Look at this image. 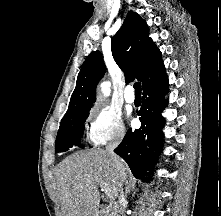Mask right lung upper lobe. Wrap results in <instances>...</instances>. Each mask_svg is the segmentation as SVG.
<instances>
[{
    "instance_id": "cb5924a9",
    "label": "right lung upper lobe",
    "mask_w": 221,
    "mask_h": 216,
    "mask_svg": "<svg viewBox=\"0 0 221 216\" xmlns=\"http://www.w3.org/2000/svg\"><path fill=\"white\" fill-rule=\"evenodd\" d=\"M115 62L125 73V81L137 78L142 87L164 70L161 52L149 37L144 20L129 11L122 27L111 40ZM105 73V65L99 51L92 52L78 74L65 117L91 109L96 99V85Z\"/></svg>"
}]
</instances>
